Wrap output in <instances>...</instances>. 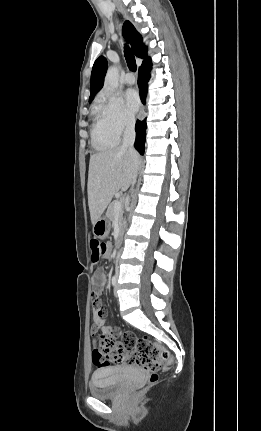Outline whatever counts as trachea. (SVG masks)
Listing matches in <instances>:
<instances>
[{
  "mask_svg": "<svg viewBox=\"0 0 261 431\" xmlns=\"http://www.w3.org/2000/svg\"><path fill=\"white\" fill-rule=\"evenodd\" d=\"M125 58H126V62L128 65V68L135 72L136 71V61H135V57L133 55V53L131 52V50L128 47H125Z\"/></svg>",
  "mask_w": 261,
  "mask_h": 431,
  "instance_id": "3493384b",
  "label": "trachea"
}]
</instances>
